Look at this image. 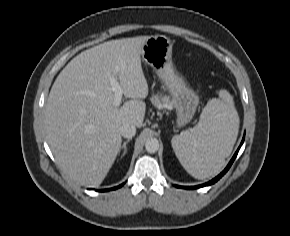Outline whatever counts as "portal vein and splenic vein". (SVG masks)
<instances>
[{"mask_svg":"<svg viewBox=\"0 0 290 236\" xmlns=\"http://www.w3.org/2000/svg\"><path fill=\"white\" fill-rule=\"evenodd\" d=\"M110 84H111V89L114 92V104L115 106H119L122 100L123 90L121 86L119 85L117 79L115 78V72L110 77Z\"/></svg>","mask_w":290,"mask_h":236,"instance_id":"18ae733b","label":"portal vein and splenic vein"}]
</instances>
